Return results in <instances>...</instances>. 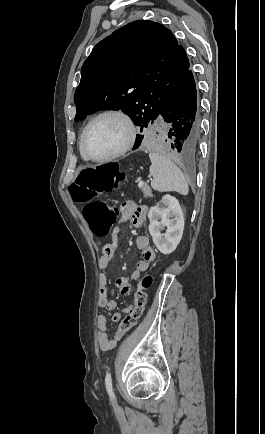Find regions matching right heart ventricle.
<instances>
[{
    "label": "right heart ventricle",
    "mask_w": 265,
    "mask_h": 434,
    "mask_svg": "<svg viewBox=\"0 0 265 434\" xmlns=\"http://www.w3.org/2000/svg\"><path fill=\"white\" fill-rule=\"evenodd\" d=\"M82 134V133H81ZM82 158V157H81ZM82 160L84 161V162H87V161H85L83 158H82Z\"/></svg>",
    "instance_id": "1"
}]
</instances>
